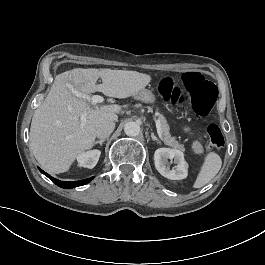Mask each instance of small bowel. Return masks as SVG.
<instances>
[{"label":"small bowel","instance_id":"small-bowel-1","mask_svg":"<svg viewBox=\"0 0 265 265\" xmlns=\"http://www.w3.org/2000/svg\"><path fill=\"white\" fill-rule=\"evenodd\" d=\"M193 150L196 154H199V155L205 152L204 145L201 139H198L193 143Z\"/></svg>","mask_w":265,"mask_h":265}]
</instances>
